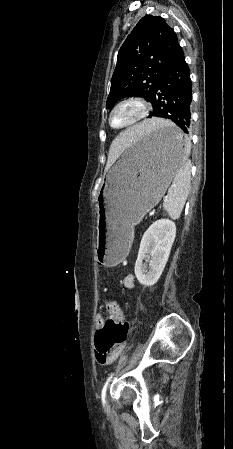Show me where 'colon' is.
<instances>
[{
  "label": "colon",
  "mask_w": 233,
  "mask_h": 449,
  "mask_svg": "<svg viewBox=\"0 0 233 449\" xmlns=\"http://www.w3.org/2000/svg\"><path fill=\"white\" fill-rule=\"evenodd\" d=\"M108 315L105 326L95 335V352L104 355L122 346L129 333V324L123 321L119 305L112 300L106 302Z\"/></svg>",
  "instance_id": "colon-1"
}]
</instances>
